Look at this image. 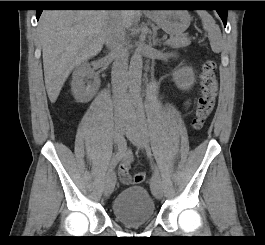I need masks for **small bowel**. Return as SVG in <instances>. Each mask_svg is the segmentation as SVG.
Returning a JSON list of instances; mask_svg holds the SVG:
<instances>
[{"label":"small bowel","mask_w":265,"mask_h":245,"mask_svg":"<svg viewBox=\"0 0 265 245\" xmlns=\"http://www.w3.org/2000/svg\"><path fill=\"white\" fill-rule=\"evenodd\" d=\"M184 108L188 109L191 105V102L189 100L184 101ZM122 162L118 167V175L120 180L125 183L128 184L131 182V176L129 174V170L131 167V163H132V154L129 150L124 149L123 151V155H122Z\"/></svg>","instance_id":"obj_1"}]
</instances>
